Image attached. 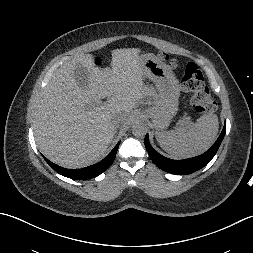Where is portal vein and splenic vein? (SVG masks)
<instances>
[{"mask_svg": "<svg viewBox=\"0 0 253 253\" xmlns=\"http://www.w3.org/2000/svg\"><path fill=\"white\" fill-rule=\"evenodd\" d=\"M97 104H99V105H100V104H101V102H100V101H98V102H97ZM179 122H180L181 124H187L185 120H180Z\"/></svg>", "mask_w": 253, "mask_h": 253, "instance_id": "portal-vein-and-splenic-vein-1", "label": "portal vein and splenic vein"}]
</instances>
